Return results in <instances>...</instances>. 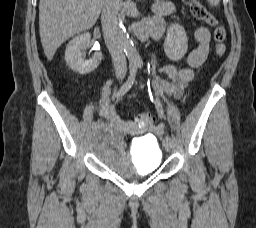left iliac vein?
Listing matches in <instances>:
<instances>
[{
	"mask_svg": "<svg viewBox=\"0 0 256 228\" xmlns=\"http://www.w3.org/2000/svg\"><path fill=\"white\" fill-rule=\"evenodd\" d=\"M163 146H164L165 150L169 152L171 150V148H172V141L167 139V138H165L163 140Z\"/></svg>",
	"mask_w": 256,
	"mask_h": 228,
	"instance_id": "4c4485c4",
	"label": "left iliac vein"
}]
</instances>
